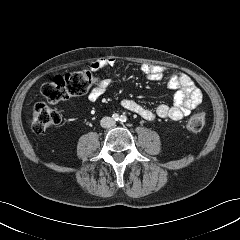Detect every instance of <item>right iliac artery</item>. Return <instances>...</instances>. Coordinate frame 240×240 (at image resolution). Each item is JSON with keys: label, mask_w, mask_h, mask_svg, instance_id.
Here are the masks:
<instances>
[{"label": "right iliac artery", "mask_w": 240, "mask_h": 240, "mask_svg": "<svg viewBox=\"0 0 240 240\" xmlns=\"http://www.w3.org/2000/svg\"><path fill=\"white\" fill-rule=\"evenodd\" d=\"M113 119L117 121V120L119 119V115H118V114H116V113H115V114H113Z\"/></svg>", "instance_id": "obj_1"}]
</instances>
